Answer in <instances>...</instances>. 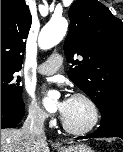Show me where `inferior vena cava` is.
I'll return each mask as SVG.
<instances>
[{
	"label": "inferior vena cava",
	"instance_id": "inferior-vena-cava-1",
	"mask_svg": "<svg viewBox=\"0 0 123 152\" xmlns=\"http://www.w3.org/2000/svg\"><path fill=\"white\" fill-rule=\"evenodd\" d=\"M44 120H45V113L42 111H31L29 112L22 130L24 132L29 133L34 137H39L42 139L45 138L44 132Z\"/></svg>",
	"mask_w": 123,
	"mask_h": 152
}]
</instances>
